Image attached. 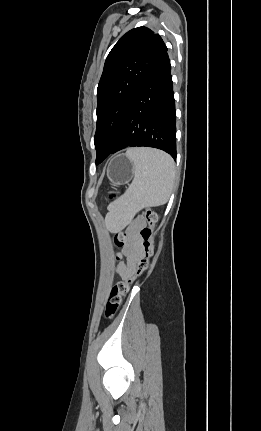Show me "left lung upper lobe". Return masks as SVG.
Segmentation results:
<instances>
[{
    "label": "left lung upper lobe",
    "instance_id": "left-lung-upper-lobe-1",
    "mask_svg": "<svg viewBox=\"0 0 261 431\" xmlns=\"http://www.w3.org/2000/svg\"><path fill=\"white\" fill-rule=\"evenodd\" d=\"M166 51L158 34L137 27L123 35L108 54L97 88L96 164L110 154L136 93Z\"/></svg>",
    "mask_w": 261,
    "mask_h": 431
}]
</instances>
